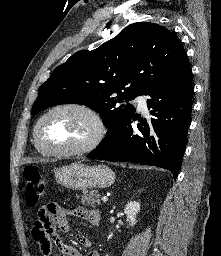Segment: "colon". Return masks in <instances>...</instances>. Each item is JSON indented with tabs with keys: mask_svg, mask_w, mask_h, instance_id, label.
Here are the masks:
<instances>
[{
	"mask_svg": "<svg viewBox=\"0 0 221 256\" xmlns=\"http://www.w3.org/2000/svg\"><path fill=\"white\" fill-rule=\"evenodd\" d=\"M25 200L28 206H35L45 191V181L40 170L35 166L24 169Z\"/></svg>",
	"mask_w": 221,
	"mask_h": 256,
	"instance_id": "colon-1",
	"label": "colon"
}]
</instances>
